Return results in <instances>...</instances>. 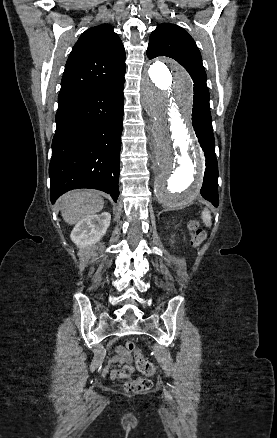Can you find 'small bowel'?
I'll use <instances>...</instances> for the list:
<instances>
[{"label": "small bowel", "instance_id": "c3829d8e", "mask_svg": "<svg viewBox=\"0 0 277 438\" xmlns=\"http://www.w3.org/2000/svg\"><path fill=\"white\" fill-rule=\"evenodd\" d=\"M112 379H119L133 373L131 358L123 347H118L116 355L110 360L107 368Z\"/></svg>", "mask_w": 277, "mask_h": 438}]
</instances>
